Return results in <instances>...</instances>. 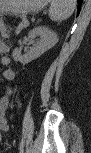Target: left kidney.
I'll return each instance as SVG.
<instances>
[{"mask_svg": "<svg viewBox=\"0 0 91 153\" xmlns=\"http://www.w3.org/2000/svg\"><path fill=\"white\" fill-rule=\"evenodd\" d=\"M36 32H42L44 35L48 36V38L43 43L37 45L28 52V56L31 58L42 53L44 50L50 47L55 40V34L48 27H39L36 29Z\"/></svg>", "mask_w": 91, "mask_h": 153, "instance_id": "obj_1", "label": "left kidney"}]
</instances>
